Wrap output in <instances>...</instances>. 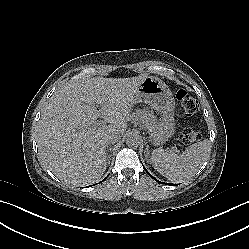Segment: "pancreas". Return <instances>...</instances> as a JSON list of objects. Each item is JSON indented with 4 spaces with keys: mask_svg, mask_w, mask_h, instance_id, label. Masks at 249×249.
Segmentation results:
<instances>
[{
    "mask_svg": "<svg viewBox=\"0 0 249 249\" xmlns=\"http://www.w3.org/2000/svg\"><path fill=\"white\" fill-rule=\"evenodd\" d=\"M135 119H138L145 128L152 130L153 132L158 128V122L156 117L148 109H136L133 113Z\"/></svg>",
    "mask_w": 249,
    "mask_h": 249,
    "instance_id": "obj_1",
    "label": "pancreas"
}]
</instances>
